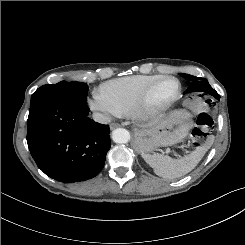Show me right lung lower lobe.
<instances>
[{
	"mask_svg": "<svg viewBox=\"0 0 245 245\" xmlns=\"http://www.w3.org/2000/svg\"><path fill=\"white\" fill-rule=\"evenodd\" d=\"M86 101L59 97L30 105L27 143L38 167L64 183L90 179L104 166L109 126L89 118Z\"/></svg>",
	"mask_w": 245,
	"mask_h": 245,
	"instance_id": "obj_1",
	"label": "right lung lower lobe"
}]
</instances>
